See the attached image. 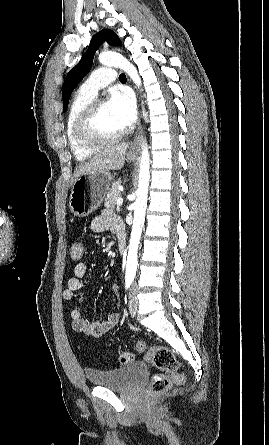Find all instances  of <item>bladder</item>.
Listing matches in <instances>:
<instances>
[{
    "label": "bladder",
    "mask_w": 269,
    "mask_h": 445,
    "mask_svg": "<svg viewBox=\"0 0 269 445\" xmlns=\"http://www.w3.org/2000/svg\"><path fill=\"white\" fill-rule=\"evenodd\" d=\"M147 371V365L138 361L116 369L86 368L84 376L92 386L123 391L138 383Z\"/></svg>",
    "instance_id": "bladder-1"
}]
</instances>
